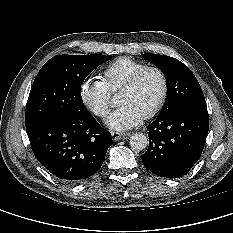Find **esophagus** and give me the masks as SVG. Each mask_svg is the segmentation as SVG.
<instances>
[{"label": "esophagus", "instance_id": "obj_1", "mask_svg": "<svg viewBox=\"0 0 233 233\" xmlns=\"http://www.w3.org/2000/svg\"><path fill=\"white\" fill-rule=\"evenodd\" d=\"M110 133H111L113 140H115V141H118L120 139H124L127 135H129V134L114 132V131H111Z\"/></svg>", "mask_w": 233, "mask_h": 233}]
</instances>
